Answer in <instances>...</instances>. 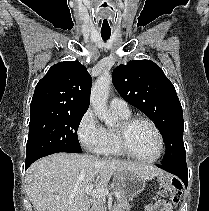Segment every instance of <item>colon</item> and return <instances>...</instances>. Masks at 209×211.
I'll return each instance as SVG.
<instances>
[{
  "instance_id": "1",
  "label": "colon",
  "mask_w": 209,
  "mask_h": 211,
  "mask_svg": "<svg viewBox=\"0 0 209 211\" xmlns=\"http://www.w3.org/2000/svg\"><path fill=\"white\" fill-rule=\"evenodd\" d=\"M181 184L178 179H172L168 185V191L173 204H177L181 195Z\"/></svg>"
}]
</instances>
